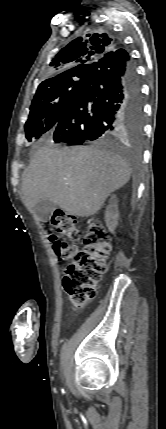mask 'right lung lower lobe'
Masks as SVG:
<instances>
[{
  "label": "right lung lower lobe",
  "mask_w": 166,
  "mask_h": 429,
  "mask_svg": "<svg viewBox=\"0 0 166 429\" xmlns=\"http://www.w3.org/2000/svg\"><path fill=\"white\" fill-rule=\"evenodd\" d=\"M86 77L53 131L56 143L101 144L123 128H142L140 80L124 49L97 59Z\"/></svg>",
  "instance_id": "98d812e1"
}]
</instances>
